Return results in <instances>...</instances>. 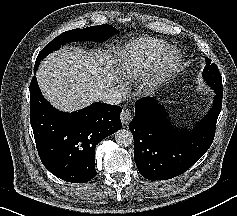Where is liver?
I'll list each match as a JSON object with an SVG mask.
<instances>
[{"mask_svg":"<svg viewBox=\"0 0 237 216\" xmlns=\"http://www.w3.org/2000/svg\"><path fill=\"white\" fill-rule=\"evenodd\" d=\"M123 69H114L108 60L76 47L54 53L43 62L37 79L44 95L65 110H75L99 98Z\"/></svg>","mask_w":237,"mask_h":216,"instance_id":"obj_1","label":"liver"}]
</instances>
